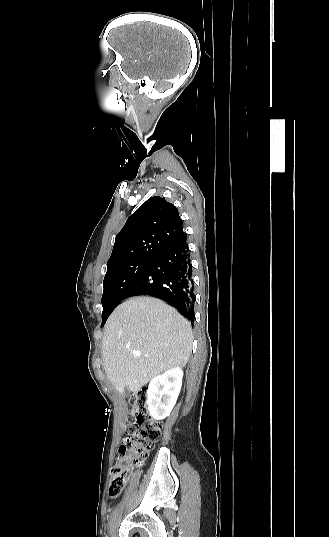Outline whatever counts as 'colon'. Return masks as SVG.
<instances>
[{"mask_svg":"<svg viewBox=\"0 0 329 537\" xmlns=\"http://www.w3.org/2000/svg\"><path fill=\"white\" fill-rule=\"evenodd\" d=\"M130 413L119 446V457L112 469L109 495H120L128 479L129 465L140 462L142 456L151 450L161 438L162 423L148 414L147 392L141 390L129 398Z\"/></svg>","mask_w":329,"mask_h":537,"instance_id":"1","label":"colon"}]
</instances>
